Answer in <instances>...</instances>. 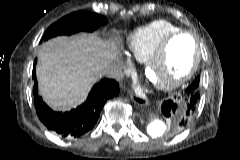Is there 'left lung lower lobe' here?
Here are the masks:
<instances>
[{
    "instance_id": "left-lung-lower-lobe-1",
    "label": "left lung lower lobe",
    "mask_w": 240,
    "mask_h": 160,
    "mask_svg": "<svg viewBox=\"0 0 240 160\" xmlns=\"http://www.w3.org/2000/svg\"><path fill=\"white\" fill-rule=\"evenodd\" d=\"M200 99L199 90H193L191 86L186 89L185 101L182 106H178L176 102L169 99L163 102L161 110L166 117H171L174 122V127L176 130V125L179 123L187 124L189 118L194 115L198 100Z\"/></svg>"
}]
</instances>
